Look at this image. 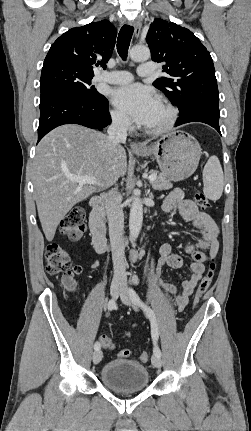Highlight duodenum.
<instances>
[{
    "label": "duodenum",
    "mask_w": 251,
    "mask_h": 431,
    "mask_svg": "<svg viewBox=\"0 0 251 431\" xmlns=\"http://www.w3.org/2000/svg\"><path fill=\"white\" fill-rule=\"evenodd\" d=\"M89 228L94 249L103 253L107 249L106 227L103 222L104 200L95 197L90 201Z\"/></svg>",
    "instance_id": "410a0bca"
}]
</instances>
